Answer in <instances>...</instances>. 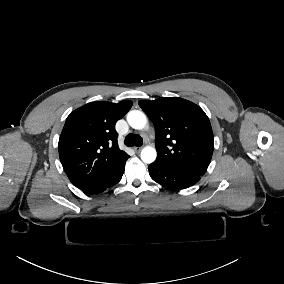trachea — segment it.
<instances>
[{"mask_svg":"<svg viewBox=\"0 0 284 284\" xmlns=\"http://www.w3.org/2000/svg\"><path fill=\"white\" fill-rule=\"evenodd\" d=\"M124 143L129 147L141 146L143 140L138 134L131 133L126 136Z\"/></svg>","mask_w":284,"mask_h":284,"instance_id":"trachea-1","label":"trachea"}]
</instances>
